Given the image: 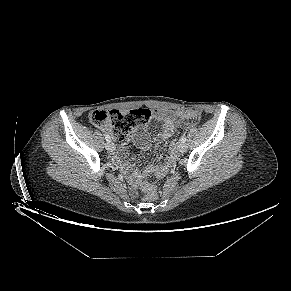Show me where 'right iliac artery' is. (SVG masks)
I'll return each instance as SVG.
<instances>
[{
	"instance_id": "obj_1",
	"label": "right iliac artery",
	"mask_w": 291,
	"mask_h": 291,
	"mask_svg": "<svg viewBox=\"0 0 291 291\" xmlns=\"http://www.w3.org/2000/svg\"><path fill=\"white\" fill-rule=\"evenodd\" d=\"M105 139H106L107 142L111 141L110 136L108 134H105Z\"/></svg>"
}]
</instances>
